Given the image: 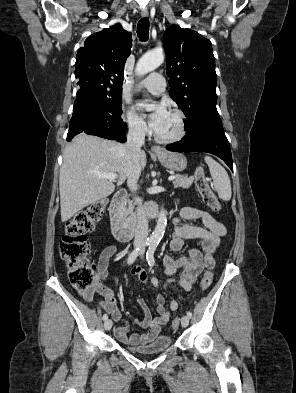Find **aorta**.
<instances>
[{"label": "aorta", "instance_id": "1", "mask_svg": "<svg viewBox=\"0 0 296 393\" xmlns=\"http://www.w3.org/2000/svg\"><path fill=\"white\" fill-rule=\"evenodd\" d=\"M163 61L164 55L162 52L150 51L139 59L135 71L140 76L145 75L158 68L163 63ZM166 225V213L163 209H161L155 230L150 236L151 243L156 244L162 239Z\"/></svg>", "mask_w": 296, "mask_h": 393}]
</instances>
